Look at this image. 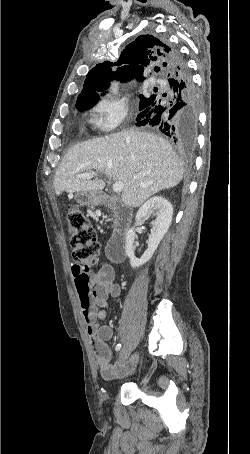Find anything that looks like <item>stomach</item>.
<instances>
[{
    "mask_svg": "<svg viewBox=\"0 0 250 454\" xmlns=\"http://www.w3.org/2000/svg\"><path fill=\"white\" fill-rule=\"evenodd\" d=\"M80 199L83 203L88 205H97L100 202V196L97 192H82L79 193Z\"/></svg>",
    "mask_w": 250,
    "mask_h": 454,
    "instance_id": "obj_1",
    "label": "stomach"
}]
</instances>
